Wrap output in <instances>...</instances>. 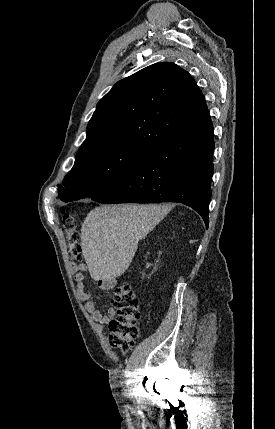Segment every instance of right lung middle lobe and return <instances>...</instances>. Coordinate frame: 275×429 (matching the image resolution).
<instances>
[{
  "instance_id": "right-lung-middle-lobe-1",
  "label": "right lung middle lobe",
  "mask_w": 275,
  "mask_h": 429,
  "mask_svg": "<svg viewBox=\"0 0 275 429\" xmlns=\"http://www.w3.org/2000/svg\"><path fill=\"white\" fill-rule=\"evenodd\" d=\"M149 154L117 145L81 157L65 176L64 187L58 185L59 198L69 202L99 194L135 170Z\"/></svg>"
}]
</instances>
